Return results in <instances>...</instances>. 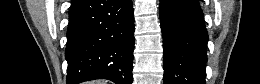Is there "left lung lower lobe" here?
Instances as JSON below:
<instances>
[{"instance_id": "left-lung-lower-lobe-1", "label": "left lung lower lobe", "mask_w": 260, "mask_h": 84, "mask_svg": "<svg viewBox=\"0 0 260 84\" xmlns=\"http://www.w3.org/2000/svg\"><path fill=\"white\" fill-rule=\"evenodd\" d=\"M164 84H205L208 34L198 0H160Z\"/></svg>"}]
</instances>
